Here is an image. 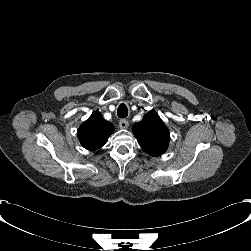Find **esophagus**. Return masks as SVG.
Here are the masks:
<instances>
[{"label":"esophagus","instance_id":"obj_1","mask_svg":"<svg viewBox=\"0 0 251 251\" xmlns=\"http://www.w3.org/2000/svg\"><path fill=\"white\" fill-rule=\"evenodd\" d=\"M119 126L122 129H126L129 126V122L127 120H125V119H121L119 121Z\"/></svg>","mask_w":251,"mask_h":251}]
</instances>
